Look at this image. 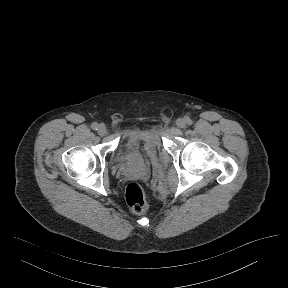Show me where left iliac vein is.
Wrapping results in <instances>:
<instances>
[{"instance_id": "left-iliac-vein-1", "label": "left iliac vein", "mask_w": 288, "mask_h": 288, "mask_svg": "<svg viewBox=\"0 0 288 288\" xmlns=\"http://www.w3.org/2000/svg\"><path fill=\"white\" fill-rule=\"evenodd\" d=\"M176 125L179 127V128H185L186 125H187V122L184 118H178L176 120Z\"/></svg>"}]
</instances>
